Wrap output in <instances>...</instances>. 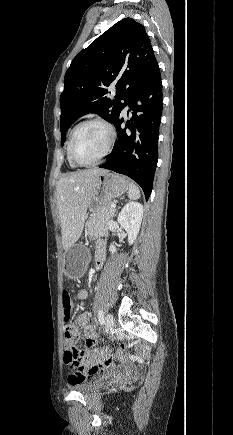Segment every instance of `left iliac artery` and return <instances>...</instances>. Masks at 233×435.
Instances as JSON below:
<instances>
[{
    "mask_svg": "<svg viewBox=\"0 0 233 435\" xmlns=\"http://www.w3.org/2000/svg\"><path fill=\"white\" fill-rule=\"evenodd\" d=\"M98 320H99V322H100L101 325L104 324V313H103V310H102V309H100V310L98 311Z\"/></svg>",
    "mask_w": 233,
    "mask_h": 435,
    "instance_id": "44dca946",
    "label": "left iliac artery"
}]
</instances>
